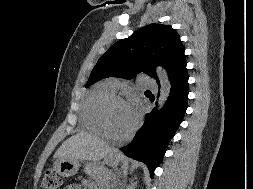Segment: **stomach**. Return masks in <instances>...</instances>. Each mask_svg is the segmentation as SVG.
Listing matches in <instances>:
<instances>
[{"instance_id": "obj_1", "label": "stomach", "mask_w": 253, "mask_h": 189, "mask_svg": "<svg viewBox=\"0 0 253 189\" xmlns=\"http://www.w3.org/2000/svg\"><path fill=\"white\" fill-rule=\"evenodd\" d=\"M104 162L111 167H116L119 165V163L123 162V158L118 153L113 152L105 156ZM79 166L80 162L78 159L58 158L54 162V170L57 172V174L63 177L75 175L79 169Z\"/></svg>"}]
</instances>
